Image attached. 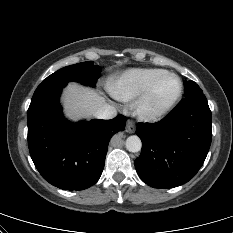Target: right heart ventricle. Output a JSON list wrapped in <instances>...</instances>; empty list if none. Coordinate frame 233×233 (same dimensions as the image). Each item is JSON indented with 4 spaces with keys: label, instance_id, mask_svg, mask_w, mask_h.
<instances>
[{
    "label": "right heart ventricle",
    "instance_id": "1",
    "mask_svg": "<svg viewBox=\"0 0 233 233\" xmlns=\"http://www.w3.org/2000/svg\"><path fill=\"white\" fill-rule=\"evenodd\" d=\"M164 71L157 68L129 69L109 82L108 91L117 100L132 101L141 94L155 77Z\"/></svg>",
    "mask_w": 233,
    "mask_h": 233
}]
</instances>
